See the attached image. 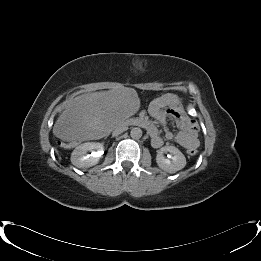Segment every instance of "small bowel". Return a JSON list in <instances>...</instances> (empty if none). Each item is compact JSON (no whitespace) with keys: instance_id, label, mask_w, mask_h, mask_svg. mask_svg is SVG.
Returning <instances> with one entry per match:
<instances>
[{"instance_id":"obj_1","label":"small bowel","mask_w":261,"mask_h":261,"mask_svg":"<svg viewBox=\"0 0 261 261\" xmlns=\"http://www.w3.org/2000/svg\"><path fill=\"white\" fill-rule=\"evenodd\" d=\"M149 115L157 122L166 124L169 119H173L180 127V131L174 134L167 131L164 135L167 140H174L185 148L198 147V130L192 119L186 115L182 108L180 99L171 93H165L155 99L149 106ZM141 120L144 123H141ZM137 122L145 126L153 146L160 147L163 143L158 130L151 122L143 117H139Z\"/></svg>"}]
</instances>
